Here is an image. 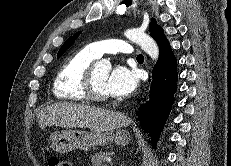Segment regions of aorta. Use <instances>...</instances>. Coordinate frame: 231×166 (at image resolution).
<instances>
[{"instance_id": "1", "label": "aorta", "mask_w": 231, "mask_h": 166, "mask_svg": "<svg viewBox=\"0 0 231 166\" xmlns=\"http://www.w3.org/2000/svg\"><path fill=\"white\" fill-rule=\"evenodd\" d=\"M124 35L130 41L140 45L142 50H144L151 57L152 60L157 61L159 57V48L156 42L149 35L135 28L128 29L127 31H125ZM95 67L98 69L109 71L111 69V63L107 59H102L96 62Z\"/></svg>"}]
</instances>
